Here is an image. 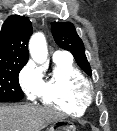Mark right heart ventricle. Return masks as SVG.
Here are the masks:
<instances>
[{"instance_id":"e07e8e85","label":"right heart ventricle","mask_w":117,"mask_h":131,"mask_svg":"<svg viewBox=\"0 0 117 131\" xmlns=\"http://www.w3.org/2000/svg\"><path fill=\"white\" fill-rule=\"evenodd\" d=\"M53 60V68L42 78L37 96L44 105L70 115H83L92 100L83 90L87 80L71 59L62 57Z\"/></svg>"}]
</instances>
